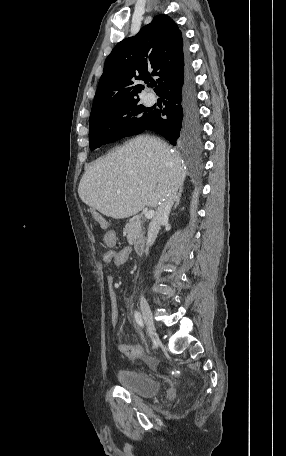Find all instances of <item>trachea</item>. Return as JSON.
I'll use <instances>...</instances> for the list:
<instances>
[{"instance_id":"3493384b","label":"trachea","mask_w":286,"mask_h":456,"mask_svg":"<svg viewBox=\"0 0 286 456\" xmlns=\"http://www.w3.org/2000/svg\"><path fill=\"white\" fill-rule=\"evenodd\" d=\"M150 86H151V87H155V86H156V83H151Z\"/></svg>"}]
</instances>
